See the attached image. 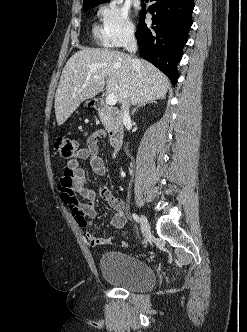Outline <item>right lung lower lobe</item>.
I'll return each instance as SVG.
<instances>
[{"label": "right lung lower lobe", "instance_id": "obj_1", "mask_svg": "<svg viewBox=\"0 0 247 332\" xmlns=\"http://www.w3.org/2000/svg\"><path fill=\"white\" fill-rule=\"evenodd\" d=\"M148 10L140 11L136 38L144 59L165 73L173 85L178 79L177 63L192 25L194 0H151ZM152 14V24L144 22L146 13Z\"/></svg>", "mask_w": 247, "mask_h": 332}]
</instances>
